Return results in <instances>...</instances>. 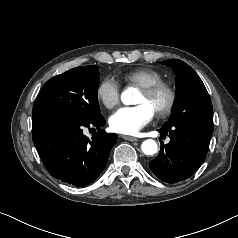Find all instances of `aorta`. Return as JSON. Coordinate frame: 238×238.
I'll list each match as a JSON object with an SVG mask.
<instances>
[{"label":"aorta","instance_id":"1","mask_svg":"<svg viewBox=\"0 0 238 238\" xmlns=\"http://www.w3.org/2000/svg\"><path fill=\"white\" fill-rule=\"evenodd\" d=\"M135 92L134 89L128 88L121 94V101L125 105H130L132 103V95ZM141 150L145 155H153L157 153L158 146L153 139H147L141 144Z\"/></svg>","mask_w":238,"mask_h":238}]
</instances>
